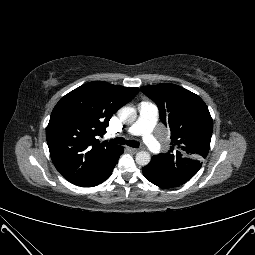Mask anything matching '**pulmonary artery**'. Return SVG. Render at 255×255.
<instances>
[{"label":"pulmonary artery","instance_id":"obj_1","mask_svg":"<svg viewBox=\"0 0 255 255\" xmlns=\"http://www.w3.org/2000/svg\"><path fill=\"white\" fill-rule=\"evenodd\" d=\"M158 116L157 106L149 101H143L139 105L137 121L126 130L130 135H141L149 150L154 153H158L161 149L160 143L152 134Z\"/></svg>","mask_w":255,"mask_h":255}]
</instances>
